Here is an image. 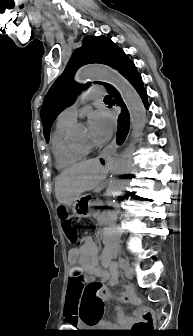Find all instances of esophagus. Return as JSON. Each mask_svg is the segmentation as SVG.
Masks as SVG:
<instances>
[{"label":"esophagus","instance_id":"esophagus-1","mask_svg":"<svg viewBox=\"0 0 193 336\" xmlns=\"http://www.w3.org/2000/svg\"><path fill=\"white\" fill-rule=\"evenodd\" d=\"M118 149V144L116 138H114L100 153L98 161L102 162L107 157L113 156L116 154Z\"/></svg>","mask_w":193,"mask_h":336}]
</instances>
